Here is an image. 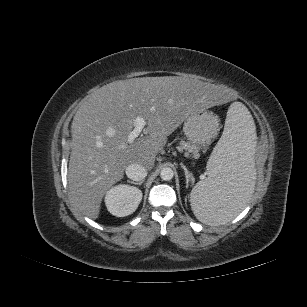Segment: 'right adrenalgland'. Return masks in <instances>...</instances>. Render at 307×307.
I'll list each match as a JSON object with an SVG mask.
<instances>
[{"mask_svg": "<svg viewBox=\"0 0 307 307\" xmlns=\"http://www.w3.org/2000/svg\"><path fill=\"white\" fill-rule=\"evenodd\" d=\"M143 182H144L143 180L140 181V182H134V181L128 180V183H131V184H134V185H142Z\"/></svg>", "mask_w": 307, "mask_h": 307, "instance_id": "obj_1", "label": "right adrenal gland"}]
</instances>
